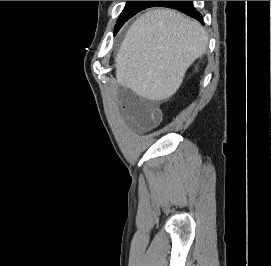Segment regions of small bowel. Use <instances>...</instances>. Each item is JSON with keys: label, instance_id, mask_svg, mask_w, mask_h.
<instances>
[{"label": "small bowel", "instance_id": "small-bowel-1", "mask_svg": "<svg viewBox=\"0 0 271 266\" xmlns=\"http://www.w3.org/2000/svg\"><path fill=\"white\" fill-rule=\"evenodd\" d=\"M118 78L123 82L132 84V73L128 68H122L118 72ZM119 98L124 110L129 116L143 128L156 125L161 117V106L155 100H143L131 89H123L119 93Z\"/></svg>", "mask_w": 271, "mask_h": 266}]
</instances>
